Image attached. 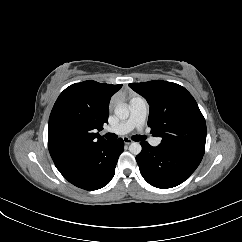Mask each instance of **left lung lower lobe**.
I'll list each match as a JSON object with an SVG mask.
<instances>
[{
    "instance_id": "obj_1",
    "label": "left lung lower lobe",
    "mask_w": 242,
    "mask_h": 242,
    "mask_svg": "<svg viewBox=\"0 0 242 242\" xmlns=\"http://www.w3.org/2000/svg\"><path fill=\"white\" fill-rule=\"evenodd\" d=\"M142 151L136 161L143 178L157 188H172L184 182L198 167L201 155L170 149L148 142L140 143Z\"/></svg>"
}]
</instances>
